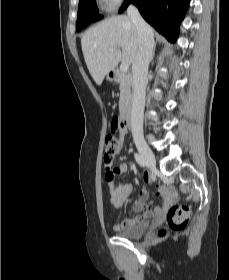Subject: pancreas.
<instances>
[{"mask_svg": "<svg viewBox=\"0 0 229 280\" xmlns=\"http://www.w3.org/2000/svg\"><path fill=\"white\" fill-rule=\"evenodd\" d=\"M119 83H120L119 109L122 112L125 106L130 102L132 98V91H131L132 83L130 77L125 75L124 73L120 74Z\"/></svg>", "mask_w": 229, "mask_h": 280, "instance_id": "obj_1", "label": "pancreas"}]
</instances>
